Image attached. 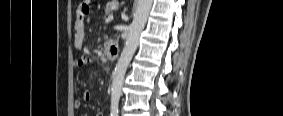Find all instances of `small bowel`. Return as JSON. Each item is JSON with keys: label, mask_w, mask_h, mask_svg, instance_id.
<instances>
[{"label": "small bowel", "mask_w": 283, "mask_h": 116, "mask_svg": "<svg viewBox=\"0 0 283 116\" xmlns=\"http://www.w3.org/2000/svg\"><path fill=\"white\" fill-rule=\"evenodd\" d=\"M86 14L85 6H80L77 9V18L74 21V35H73V44L76 48L80 49L83 46L84 38H85V24H84V16ZM91 60L88 57H83L76 62V67L81 68L88 65ZM93 95L92 92L86 90L82 94V100L88 102L92 99ZM81 103L76 101L75 107L79 108ZM103 112H99L97 116H103Z\"/></svg>", "instance_id": "1"}]
</instances>
